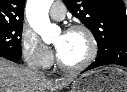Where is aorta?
I'll return each instance as SVG.
<instances>
[{"instance_id":"762f6f07","label":"aorta","mask_w":127,"mask_h":92,"mask_svg":"<svg viewBox=\"0 0 127 92\" xmlns=\"http://www.w3.org/2000/svg\"><path fill=\"white\" fill-rule=\"evenodd\" d=\"M53 0H28L26 17L32 29L38 33L44 42H50L58 27L51 24L48 12Z\"/></svg>"}]
</instances>
